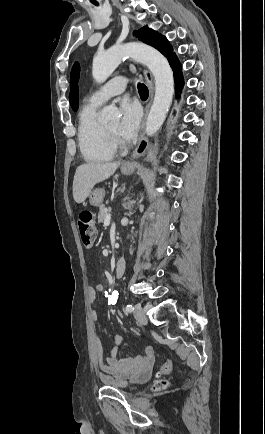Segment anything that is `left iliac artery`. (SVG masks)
Segmentation results:
<instances>
[{
  "instance_id": "44dca946",
  "label": "left iliac artery",
  "mask_w": 265,
  "mask_h": 434,
  "mask_svg": "<svg viewBox=\"0 0 265 434\" xmlns=\"http://www.w3.org/2000/svg\"><path fill=\"white\" fill-rule=\"evenodd\" d=\"M133 310H134V307L132 305L129 304L126 306V311L133 312Z\"/></svg>"
}]
</instances>
